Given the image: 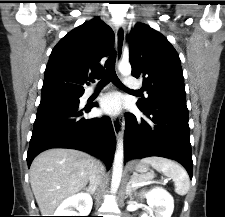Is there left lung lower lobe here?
Here are the masks:
<instances>
[{"label":"left lung lower lobe","mask_w":225,"mask_h":217,"mask_svg":"<svg viewBox=\"0 0 225 217\" xmlns=\"http://www.w3.org/2000/svg\"><path fill=\"white\" fill-rule=\"evenodd\" d=\"M138 108L143 118L126 113L124 160L160 156L182 164L192 179V153L186 103H155Z\"/></svg>","instance_id":"obj_1"}]
</instances>
